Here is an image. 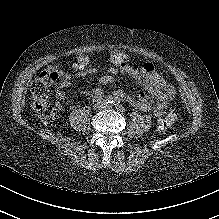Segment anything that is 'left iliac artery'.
Listing matches in <instances>:
<instances>
[{
    "label": "left iliac artery",
    "instance_id": "left-iliac-artery-1",
    "mask_svg": "<svg viewBox=\"0 0 219 219\" xmlns=\"http://www.w3.org/2000/svg\"><path fill=\"white\" fill-rule=\"evenodd\" d=\"M119 104H120V99L117 97V98H115L113 105H119Z\"/></svg>",
    "mask_w": 219,
    "mask_h": 219
}]
</instances>
